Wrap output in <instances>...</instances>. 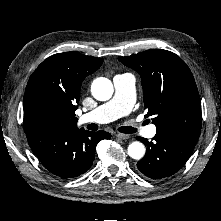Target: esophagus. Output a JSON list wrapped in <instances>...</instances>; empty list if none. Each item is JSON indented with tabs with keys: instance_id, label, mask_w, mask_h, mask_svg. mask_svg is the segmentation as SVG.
Returning <instances> with one entry per match:
<instances>
[{
	"instance_id": "1",
	"label": "esophagus",
	"mask_w": 221,
	"mask_h": 221,
	"mask_svg": "<svg viewBox=\"0 0 221 221\" xmlns=\"http://www.w3.org/2000/svg\"><path fill=\"white\" fill-rule=\"evenodd\" d=\"M117 137L122 139V140H126V139L130 138V136L128 134H123V133H118Z\"/></svg>"
}]
</instances>
